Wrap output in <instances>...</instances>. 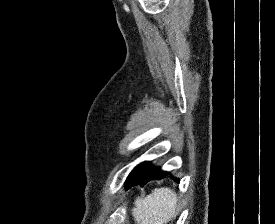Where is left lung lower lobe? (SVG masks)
Listing matches in <instances>:
<instances>
[{"label":"left lung lower lobe","mask_w":275,"mask_h":224,"mask_svg":"<svg viewBox=\"0 0 275 224\" xmlns=\"http://www.w3.org/2000/svg\"><path fill=\"white\" fill-rule=\"evenodd\" d=\"M164 174H168V172H162L160 168L151 167L150 162H143L136 166L129 174L125 182L126 189L134 185L144 186V184L150 180H160L163 178ZM175 181L179 182V179H175Z\"/></svg>","instance_id":"1"}]
</instances>
